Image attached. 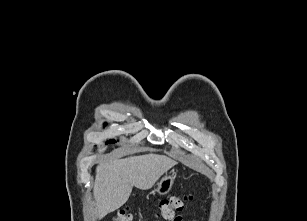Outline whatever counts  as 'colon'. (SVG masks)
<instances>
[{
    "label": "colon",
    "instance_id": "5ec220e1",
    "mask_svg": "<svg viewBox=\"0 0 307 221\" xmlns=\"http://www.w3.org/2000/svg\"><path fill=\"white\" fill-rule=\"evenodd\" d=\"M189 195L174 196L170 199L161 200L158 203V215L164 219H171L176 212L183 209L184 203L189 201ZM133 215L129 209L120 210L112 221H132Z\"/></svg>",
    "mask_w": 307,
    "mask_h": 221
}]
</instances>
